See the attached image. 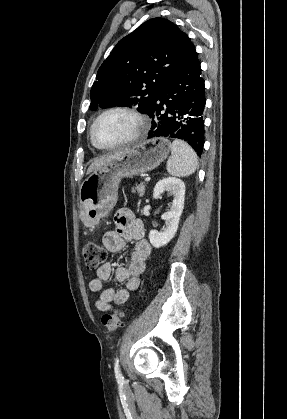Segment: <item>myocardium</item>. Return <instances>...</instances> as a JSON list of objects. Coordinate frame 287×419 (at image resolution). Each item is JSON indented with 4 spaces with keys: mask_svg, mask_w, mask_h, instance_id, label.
Returning <instances> with one entry per match:
<instances>
[{
    "mask_svg": "<svg viewBox=\"0 0 287 419\" xmlns=\"http://www.w3.org/2000/svg\"><path fill=\"white\" fill-rule=\"evenodd\" d=\"M113 112H122L125 114H128L131 116L135 122L137 123L136 131L132 136H130L128 139L121 141L116 144H102L98 142V140L95 137V127L97 123L107 114L113 113ZM148 124L146 118L135 108L126 106V105H116L109 107L105 110H103L93 121L90 127V138L91 141L95 146H97L100 149H115L120 148L126 145H129L135 141H137L141 136H143L147 130Z\"/></svg>",
    "mask_w": 287,
    "mask_h": 419,
    "instance_id": "f54148a6",
    "label": "myocardium"
}]
</instances>
